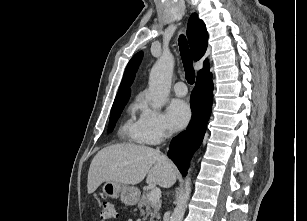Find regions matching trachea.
Here are the masks:
<instances>
[{
  "instance_id": "1",
  "label": "trachea",
  "mask_w": 307,
  "mask_h": 221,
  "mask_svg": "<svg viewBox=\"0 0 307 221\" xmlns=\"http://www.w3.org/2000/svg\"><path fill=\"white\" fill-rule=\"evenodd\" d=\"M179 47L180 53L184 64L186 80L189 84H194L195 82V72L192 67V59L189 51V47L186 38L181 35L179 37Z\"/></svg>"
}]
</instances>
